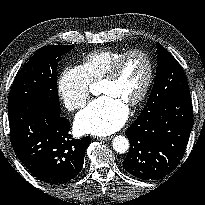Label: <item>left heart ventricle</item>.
Listing matches in <instances>:
<instances>
[{"mask_svg":"<svg viewBox=\"0 0 205 205\" xmlns=\"http://www.w3.org/2000/svg\"><path fill=\"white\" fill-rule=\"evenodd\" d=\"M148 72L146 59L140 55L127 58L114 81L100 83V93L110 95L125 105L141 92Z\"/></svg>","mask_w":205,"mask_h":205,"instance_id":"b2bd125f","label":"left heart ventricle"}]
</instances>
